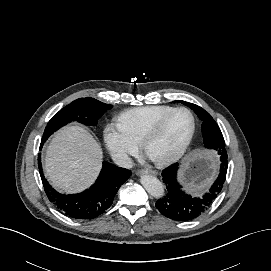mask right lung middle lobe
Wrapping results in <instances>:
<instances>
[{
  "instance_id": "obj_1",
  "label": "right lung middle lobe",
  "mask_w": 271,
  "mask_h": 271,
  "mask_svg": "<svg viewBox=\"0 0 271 271\" xmlns=\"http://www.w3.org/2000/svg\"><path fill=\"white\" fill-rule=\"evenodd\" d=\"M110 107L111 105L102 103L94 98H80L73 101L62 108L48 122L42 137V143L53 132L74 120L88 126H95L99 117Z\"/></svg>"
}]
</instances>
